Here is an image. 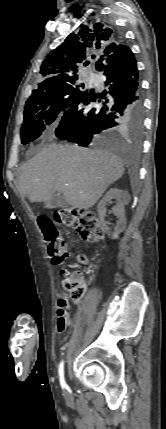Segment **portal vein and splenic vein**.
I'll use <instances>...</instances> for the list:
<instances>
[{
	"instance_id": "1",
	"label": "portal vein and splenic vein",
	"mask_w": 166,
	"mask_h": 429,
	"mask_svg": "<svg viewBox=\"0 0 166 429\" xmlns=\"http://www.w3.org/2000/svg\"><path fill=\"white\" fill-rule=\"evenodd\" d=\"M65 186H69V184H65Z\"/></svg>"
}]
</instances>
